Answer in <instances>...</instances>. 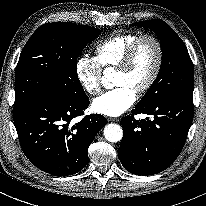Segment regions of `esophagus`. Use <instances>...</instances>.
<instances>
[{"mask_svg":"<svg viewBox=\"0 0 206 206\" xmlns=\"http://www.w3.org/2000/svg\"><path fill=\"white\" fill-rule=\"evenodd\" d=\"M108 121L118 122L119 119L118 118H113V117H108Z\"/></svg>","mask_w":206,"mask_h":206,"instance_id":"1","label":"esophagus"}]
</instances>
